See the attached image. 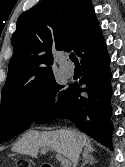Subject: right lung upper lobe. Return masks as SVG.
<instances>
[{"label":"right lung upper lobe","mask_w":125,"mask_h":167,"mask_svg":"<svg viewBox=\"0 0 125 167\" xmlns=\"http://www.w3.org/2000/svg\"><path fill=\"white\" fill-rule=\"evenodd\" d=\"M91 0H42L17 20L13 56L2 99L28 92L54 77L53 51L82 49L100 32Z\"/></svg>","instance_id":"right-lung-upper-lobe-1"}]
</instances>
